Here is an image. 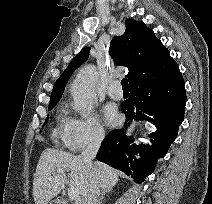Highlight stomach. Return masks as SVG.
<instances>
[{"label":"stomach","instance_id":"0dacf381","mask_svg":"<svg viewBox=\"0 0 212 204\" xmlns=\"http://www.w3.org/2000/svg\"><path fill=\"white\" fill-rule=\"evenodd\" d=\"M49 204H57V202L56 201H52Z\"/></svg>","mask_w":212,"mask_h":204}]
</instances>
